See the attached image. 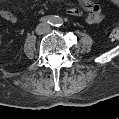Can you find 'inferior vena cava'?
I'll use <instances>...</instances> for the list:
<instances>
[{
  "label": "inferior vena cava",
  "mask_w": 119,
  "mask_h": 119,
  "mask_svg": "<svg viewBox=\"0 0 119 119\" xmlns=\"http://www.w3.org/2000/svg\"><path fill=\"white\" fill-rule=\"evenodd\" d=\"M50 31V25L48 23H41L36 27L37 34H46Z\"/></svg>",
  "instance_id": "inferior-vena-cava-1"
}]
</instances>
